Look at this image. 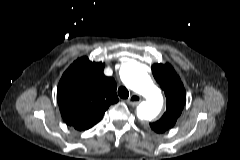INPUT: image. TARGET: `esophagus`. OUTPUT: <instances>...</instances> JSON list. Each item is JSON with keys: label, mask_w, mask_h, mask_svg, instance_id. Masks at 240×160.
<instances>
[{"label": "esophagus", "mask_w": 240, "mask_h": 160, "mask_svg": "<svg viewBox=\"0 0 240 160\" xmlns=\"http://www.w3.org/2000/svg\"><path fill=\"white\" fill-rule=\"evenodd\" d=\"M141 102V98L137 94H132L127 100L126 103L131 106H137Z\"/></svg>", "instance_id": "obj_1"}]
</instances>
